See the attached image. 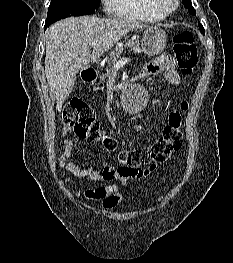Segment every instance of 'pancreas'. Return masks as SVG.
<instances>
[{
	"mask_svg": "<svg viewBox=\"0 0 233 263\" xmlns=\"http://www.w3.org/2000/svg\"><path fill=\"white\" fill-rule=\"evenodd\" d=\"M125 47H130V48H140V43L138 40H130L128 43L124 45ZM123 53V47H116L114 51L110 53V59L108 61V65L106 68V75H110L111 72L114 70V66L117 63V61L120 59L121 54ZM105 82L104 76L100 77V83Z\"/></svg>",
	"mask_w": 233,
	"mask_h": 263,
	"instance_id": "pancreas-1",
	"label": "pancreas"
}]
</instances>
